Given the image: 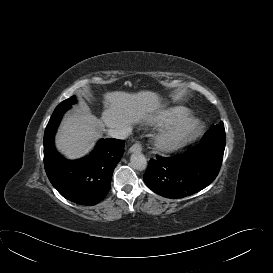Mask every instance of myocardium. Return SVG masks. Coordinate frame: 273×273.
<instances>
[{
	"mask_svg": "<svg viewBox=\"0 0 273 273\" xmlns=\"http://www.w3.org/2000/svg\"><path fill=\"white\" fill-rule=\"evenodd\" d=\"M201 129L200 119L189 118L173 127L159 130L153 138L154 146L163 153L174 152L193 141Z\"/></svg>",
	"mask_w": 273,
	"mask_h": 273,
	"instance_id": "f54148a6",
	"label": "myocardium"
}]
</instances>
